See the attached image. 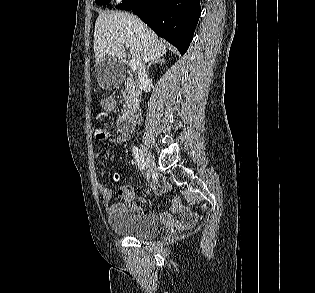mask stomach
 Segmentation results:
<instances>
[{
  "instance_id": "0dacf381",
  "label": "stomach",
  "mask_w": 315,
  "mask_h": 293,
  "mask_svg": "<svg viewBox=\"0 0 315 293\" xmlns=\"http://www.w3.org/2000/svg\"><path fill=\"white\" fill-rule=\"evenodd\" d=\"M101 103L105 110H114L116 103H120V96H101Z\"/></svg>"
}]
</instances>
